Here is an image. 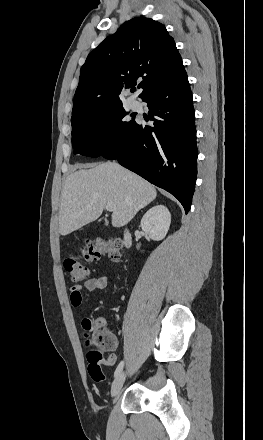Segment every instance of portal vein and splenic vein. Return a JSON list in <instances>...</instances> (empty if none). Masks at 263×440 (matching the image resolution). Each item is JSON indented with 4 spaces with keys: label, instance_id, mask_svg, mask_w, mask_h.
<instances>
[{
    "label": "portal vein and splenic vein",
    "instance_id": "obj_1",
    "mask_svg": "<svg viewBox=\"0 0 263 440\" xmlns=\"http://www.w3.org/2000/svg\"><path fill=\"white\" fill-rule=\"evenodd\" d=\"M114 208H115V206H114L113 203H107V204H106V210H107V211H113Z\"/></svg>",
    "mask_w": 263,
    "mask_h": 440
}]
</instances>
